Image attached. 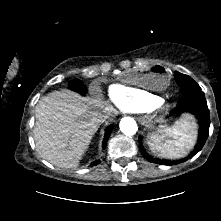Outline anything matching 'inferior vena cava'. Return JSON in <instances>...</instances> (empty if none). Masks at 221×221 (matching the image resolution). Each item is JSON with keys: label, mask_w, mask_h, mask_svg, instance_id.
Segmentation results:
<instances>
[{"label": "inferior vena cava", "mask_w": 221, "mask_h": 221, "mask_svg": "<svg viewBox=\"0 0 221 221\" xmlns=\"http://www.w3.org/2000/svg\"><path fill=\"white\" fill-rule=\"evenodd\" d=\"M112 116V108H105L100 114H99V120L101 123L105 122L107 119H111Z\"/></svg>", "instance_id": "obj_1"}]
</instances>
